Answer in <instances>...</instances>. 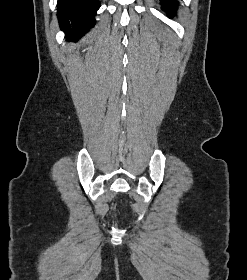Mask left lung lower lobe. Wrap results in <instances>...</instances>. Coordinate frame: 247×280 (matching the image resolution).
<instances>
[{
	"label": "left lung lower lobe",
	"mask_w": 247,
	"mask_h": 280,
	"mask_svg": "<svg viewBox=\"0 0 247 280\" xmlns=\"http://www.w3.org/2000/svg\"><path fill=\"white\" fill-rule=\"evenodd\" d=\"M160 2L162 3V10L172 19L175 16V12L178 10L177 0H160Z\"/></svg>",
	"instance_id": "0a47b994"
}]
</instances>
